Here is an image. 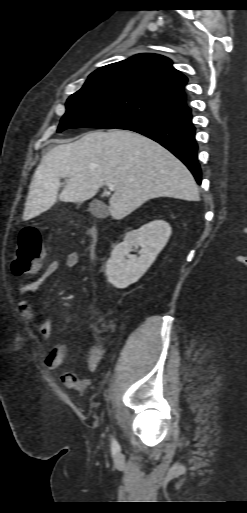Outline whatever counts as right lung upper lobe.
I'll return each mask as SVG.
<instances>
[{
    "label": "right lung upper lobe",
    "mask_w": 247,
    "mask_h": 513,
    "mask_svg": "<svg viewBox=\"0 0 247 513\" xmlns=\"http://www.w3.org/2000/svg\"><path fill=\"white\" fill-rule=\"evenodd\" d=\"M186 83L187 78L168 58L138 54L97 69L79 91L118 88L139 93L169 110H176L186 106L183 90Z\"/></svg>",
    "instance_id": "1"
}]
</instances>
